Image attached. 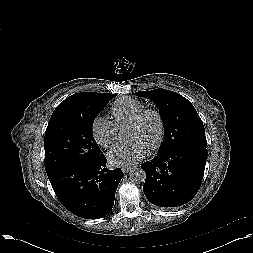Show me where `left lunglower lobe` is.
Segmentation results:
<instances>
[{
  "mask_svg": "<svg viewBox=\"0 0 253 253\" xmlns=\"http://www.w3.org/2000/svg\"><path fill=\"white\" fill-rule=\"evenodd\" d=\"M207 147L195 144L175 146L157 153L141 168L146 173V198L162 208L188 203L198 192L207 160Z\"/></svg>",
  "mask_w": 253,
  "mask_h": 253,
  "instance_id": "left-lung-lower-lobe-1",
  "label": "left lung lower lobe"
}]
</instances>
